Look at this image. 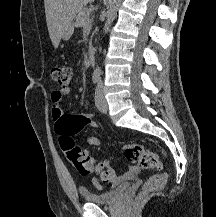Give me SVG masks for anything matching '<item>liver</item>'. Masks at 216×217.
<instances>
[{"label": "liver", "instance_id": "6515ba94", "mask_svg": "<svg viewBox=\"0 0 216 217\" xmlns=\"http://www.w3.org/2000/svg\"><path fill=\"white\" fill-rule=\"evenodd\" d=\"M95 0H44L46 22L52 44L59 46L66 29L85 5Z\"/></svg>", "mask_w": 216, "mask_h": 217}]
</instances>
